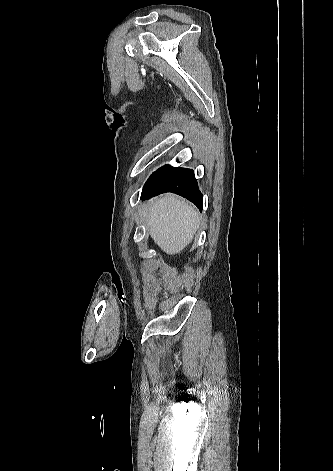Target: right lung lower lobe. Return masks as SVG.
Masks as SVG:
<instances>
[{"label": "right lung lower lobe", "mask_w": 333, "mask_h": 471, "mask_svg": "<svg viewBox=\"0 0 333 471\" xmlns=\"http://www.w3.org/2000/svg\"><path fill=\"white\" fill-rule=\"evenodd\" d=\"M165 192H173L187 198L202 211L203 195L199 191L194 171L165 165L154 172L143 187L142 199Z\"/></svg>", "instance_id": "obj_1"}]
</instances>
